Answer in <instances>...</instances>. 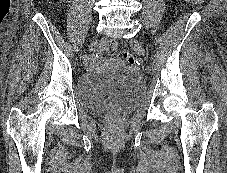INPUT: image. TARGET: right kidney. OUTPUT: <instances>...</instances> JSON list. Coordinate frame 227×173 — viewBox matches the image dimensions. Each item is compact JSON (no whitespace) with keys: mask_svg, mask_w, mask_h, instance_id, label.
Masks as SVG:
<instances>
[{"mask_svg":"<svg viewBox=\"0 0 227 173\" xmlns=\"http://www.w3.org/2000/svg\"><path fill=\"white\" fill-rule=\"evenodd\" d=\"M60 1H63V2H65V1H70V0H60Z\"/></svg>","mask_w":227,"mask_h":173,"instance_id":"1","label":"right kidney"}]
</instances>
